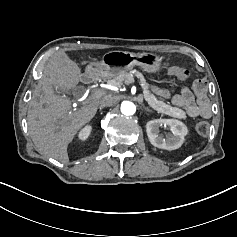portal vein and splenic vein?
Returning a JSON list of instances; mask_svg holds the SVG:
<instances>
[{
  "mask_svg": "<svg viewBox=\"0 0 237 237\" xmlns=\"http://www.w3.org/2000/svg\"><path fill=\"white\" fill-rule=\"evenodd\" d=\"M124 83H132V84H136V81H134V80H126V82H124ZM117 88V87H116Z\"/></svg>",
  "mask_w": 237,
  "mask_h": 237,
  "instance_id": "1",
  "label": "portal vein and splenic vein"
}]
</instances>
